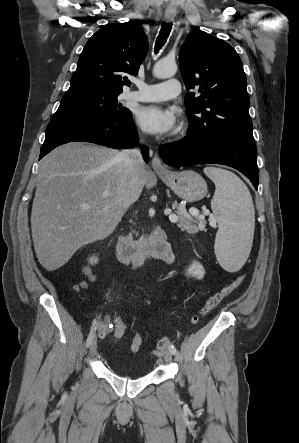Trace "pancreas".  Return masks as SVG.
<instances>
[{
    "mask_svg": "<svg viewBox=\"0 0 299 443\" xmlns=\"http://www.w3.org/2000/svg\"><path fill=\"white\" fill-rule=\"evenodd\" d=\"M173 208L176 209L175 213L177 216V227L182 231L189 234H196L199 230H205L206 221L201 215L195 213V215H190L185 209L180 208L177 204H173ZM195 212V211H191Z\"/></svg>",
    "mask_w": 299,
    "mask_h": 443,
    "instance_id": "cf45deb5",
    "label": "pancreas"
}]
</instances>
